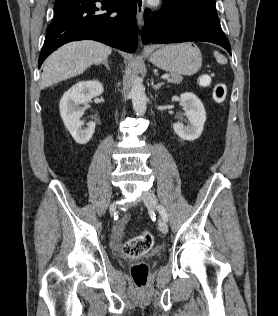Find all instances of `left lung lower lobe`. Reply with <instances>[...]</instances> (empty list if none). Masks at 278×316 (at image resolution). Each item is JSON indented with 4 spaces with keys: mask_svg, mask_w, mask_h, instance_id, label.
<instances>
[{
    "mask_svg": "<svg viewBox=\"0 0 278 316\" xmlns=\"http://www.w3.org/2000/svg\"><path fill=\"white\" fill-rule=\"evenodd\" d=\"M159 13V20L145 17V28L141 33L143 44L204 41L222 46L231 55L230 43L219 27L197 18L177 16L165 1Z\"/></svg>",
    "mask_w": 278,
    "mask_h": 316,
    "instance_id": "1",
    "label": "left lung lower lobe"
}]
</instances>
